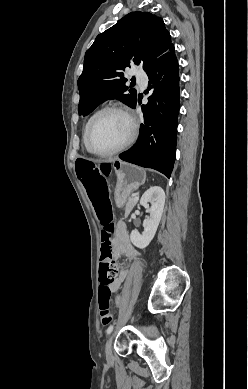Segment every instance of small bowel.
<instances>
[{"label": "small bowel", "instance_id": "1", "mask_svg": "<svg viewBox=\"0 0 248 389\" xmlns=\"http://www.w3.org/2000/svg\"><path fill=\"white\" fill-rule=\"evenodd\" d=\"M112 251L115 257L125 255L129 260L134 261L138 258L139 253L133 247L125 223L120 222L117 226L116 238L112 244ZM129 274L128 269L119 270L118 276L111 285V290L116 292L121 287Z\"/></svg>", "mask_w": 248, "mask_h": 389}]
</instances>
